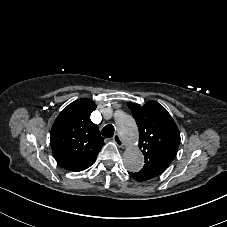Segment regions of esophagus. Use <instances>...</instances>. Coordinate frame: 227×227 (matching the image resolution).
Wrapping results in <instances>:
<instances>
[{
  "label": "esophagus",
  "mask_w": 227,
  "mask_h": 227,
  "mask_svg": "<svg viewBox=\"0 0 227 227\" xmlns=\"http://www.w3.org/2000/svg\"><path fill=\"white\" fill-rule=\"evenodd\" d=\"M113 141L116 143L118 147H124L125 145L118 133L114 135Z\"/></svg>",
  "instance_id": "1"
}]
</instances>
